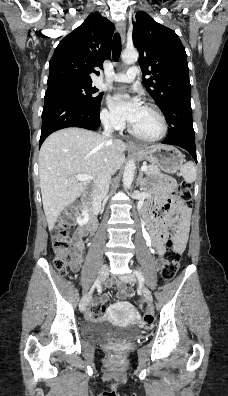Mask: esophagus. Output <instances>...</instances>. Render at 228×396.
Wrapping results in <instances>:
<instances>
[{"mask_svg":"<svg viewBox=\"0 0 228 396\" xmlns=\"http://www.w3.org/2000/svg\"><path fill=\"white\" fill-rule=\"evenodd\" d=\"M116 28H117V31L119 32L120 36H121L122 42L124 43L125 39H126V26H125V23L123 21L118 22L116 24ZM128 146L132 147V148L136 147V145L133 144V143H128Z\"/></svg>","mask_w":228,"mask_h":396,"instance_id":"obj_1","label":"esophagus"}]
</instances>
